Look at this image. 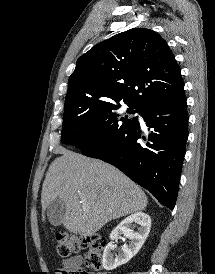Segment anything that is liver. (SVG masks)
<instances>
[{"instance_id":"1","label":"liver","mask_w":215,"mask_h":274,"mask_svg":"<svg viewBox=\"0 0 215 274\" xmlns=\"http://www.w3.org/2000/svg\"><path fill=\"white\" fill-rule=\"evenodd\" d=\"M42 186V219L56 199L65 205L64 227L74 234L92 236L107 222L142 211L147 197L121 171L100 160L61 149ZM80 193L85 199H80Z\"/></svg>"}]
</instances>
